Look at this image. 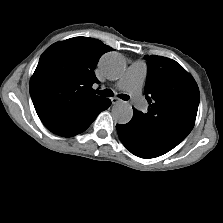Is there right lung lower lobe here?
<instances>
[{
  "label": "right lung lower lobe",
  "mask_w": 223,
  "mask_h": 223,
  "mask_svg": "<svg viewBox=\"0 0 223 223\" xmlns=\"http://www.w3.org/2000/svg\"><path fill=\"white\" fill-rule=\"evenodd\" d=\"M110 104H111V101L109 100V99H106V102H105V104L102 106V108H101V110H99L98 111V114L101 112V111H103V110H106L109 106H110ZM97 114V115H98ZM97 117V116H96ZM95 120V119H94ZM89 127V126H88ZM87 127V128H88ZM86 128V129H87ZM86 129H84L83 131H85ZM51 130V129H50ZM53 130H51V132H52ZM82 131V132H83ZM54 132V131H53ZM55 134H57V135H60V136H65V137H71V136H74V135H77V134H79V133H75V134H66V133H64V132H54ZM81 133V132H80Z\"/></svg>",
  "instance_id": "obj_1"
}]
</instances>
